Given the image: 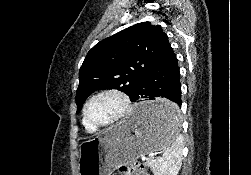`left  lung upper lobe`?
<instances>
[{"label":"left lung upper lobe","instance_id":"obj_1","mask_svg":"<svg viewBox=\"0 0 251 175\" xmlns=\"http://www.w3.org/2000/svg\"><path fill=\"white\" fill-rule=\"evenodd\" d=\"M168 36L160 25L142 22L97 43L79 71L77 113L94 91L115 88L133 96L144 74L158 59Z\"/></svg>","mask_w":251,"mask_h":175}]
</instances>
